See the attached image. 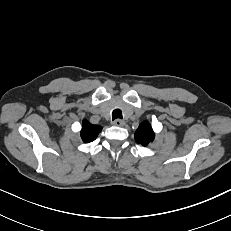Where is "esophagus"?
Returning a JSON list of instances; mask_svg holds the SVG:
<instances>
[{
    "instance_id": "obj_1",
    "label": "esophagus",
    "mask_w": 231,
    "mask_h": 231,
    "mask_svg": "<svg viewBox=\"0 0 231 231\" xmlns=\"http://www.w3.org/2000/svg\"><path fill=\"white\" fill-rule=\"evenodd\" d=\"M113 125L118 126V127H122L125 125V122L123 120L116 119L115 121H113Z\"/></svg>"
}]
</instances>
